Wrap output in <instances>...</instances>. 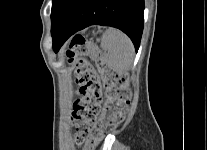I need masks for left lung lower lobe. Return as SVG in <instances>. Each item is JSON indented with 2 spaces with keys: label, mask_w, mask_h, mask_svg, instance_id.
I'll return each instance as SVG.
<instances>
[{
  "label": "left lung lower lobe",
  "mask_w": 207,
  "mask_h": 150,
  "mask_svg": "<svg viewBox=\"0 0 207 150\" xmlns=\"http://www.w3.org/2000/svg\"><path fill=\"white\" fill-rule=\"evenodd\" d=\"M144 0H67L51 28L57 52L75 32L90 25L112 26L126 33L139 48L143 31Z\"/></svg>",
  "instance_id": "obj_1"
}]
</instances>
